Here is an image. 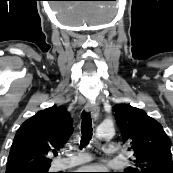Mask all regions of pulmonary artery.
<instances>
[{
  "label": "pulmonary artery",
  "mask_w": 173,
  "mask_h": 173,
  "mask_svg": "<svg viewBox=\"0 0 173 173\" xmlns=\"http://www.w3.org/2000/svg\"><path fill=\"white\" fill-rule=\"evenodd\" d=\"M103 151L105 154L110 156H115L118 153V149L114 146H104ZM90 160L91 156L88 153L79 152L68 159L61 160L58 165L61 169H66L69 167L84 164Z\"/></svg>",
  "instance_id": "pulmonary-artery-1"
}]
</instances>
